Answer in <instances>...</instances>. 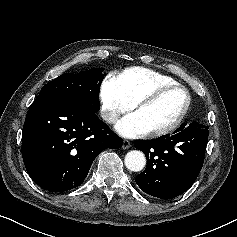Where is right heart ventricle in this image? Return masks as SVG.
Returning <instances> with one entry per match:
<instances>
[{"label":"right heart ventricle","mask_w":237,"mask_h":237,"mask_svg":"<svg viewBox=\"0 0 237 237\" xmlns=\"http://www.w3.org/2000/svg\"><path fill=\"white\" fill-rule=\"evenodd\" d=\"M113 77L133 104L158 86L177 83L170 76L142 67L127 68Z\"/></svg>","instance_id":"e07e8e85"}]
</instances>
